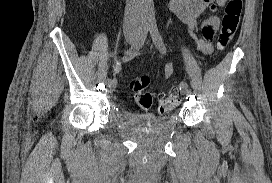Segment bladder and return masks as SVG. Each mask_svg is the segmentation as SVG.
Masks as SVG:
<instances>
[{
    "instance_id": "31cf9c89",
    "label": "bladder",
    "mask_w": 272,
    "mask_h": 183,
    "mask_svg": "<svg viewBox=\"0 0 272 183\" xmlns=\"http://www.w3.org/2000/svg\"><path fill=\"white\" fill-rule=\"evenodd\" d=\"M124 120L130 129L146 133H158L170 124L169 116H156L150 113L124 112Z\"/></svg>"
}]
</instances>
